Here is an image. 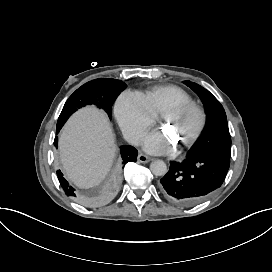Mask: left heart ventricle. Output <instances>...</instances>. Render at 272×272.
Masks as SVG:
<instances>
[{
	"label": "left heart ventricle",
	"mask_w": 272,
	"mask_h": 272,
	"mask_svg": "<svg viewBox=\"0 0 272 272\" xmlns=\"http://www.w3.org/2000/svg\"><path fill=\"white\" fill-rule=\"evenodd\" d=\"M162 120L167 124H172L176 134L184 139L194 123L195 117L193 113L167 112L163 114Z\"/></svg>",
	"instance_id": "obj_1"
}]
</instances>
